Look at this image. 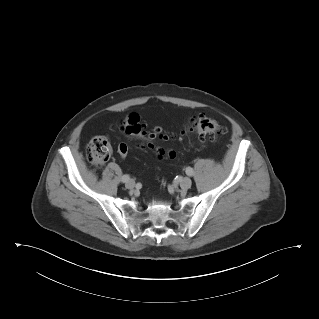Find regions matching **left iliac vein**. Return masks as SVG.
Listing matches in <instances>:
<instances>
[{
	"label": "left iliac vein",
	"mask_w": 319,
	"mask_h": 319,
	"mask_svg": "<svg viewBox=\"0 0 319 319\" xmlns=\"http://www.w3.org/2000/svg\"><path fill=\"white\" fill-rule=\"evenodd\" d=\"M191 184H192V181L190 178L188 177H184L181 179L180 181V186L183 188V189H189L191 187Z\"/></svg>",
	"instance_id": "4c4485c4"
}]
</instances>
